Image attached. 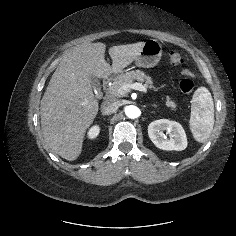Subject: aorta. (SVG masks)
<instances>
[{"label":"aorta","mask_w":236,"mask_h":236,"mask_svg":"<svg viewBox=\"0 0 236 236\" xmlns=\"http://www.w3.org/2000/svg\"><path fill=\"white\" fill-rule=\"evenodd\" d=\"M125 114L128 118L135 119V118L139 117L140 110L138 107H136L134 105H129L125 108Z\"/></svg>","instance_id":"1"}]
</instances>
